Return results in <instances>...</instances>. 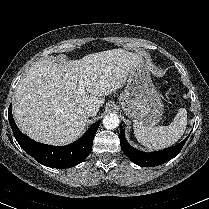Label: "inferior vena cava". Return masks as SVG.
<instances>
[{"label": "inferior vena cava", "instance_id": "602c4592", "mask_svg": "<svg viewBox=\"0 0 209 209\" xmlns=\"http://www.w3.org/2000/svg\"><path fill=\"white\" fill-rule=\"evenodd\" d=\"M99 109L94 106H87L84 109L85 115L95 116L98 113Z\"/></svg>", "mask_w": 209, "mask_h": 209}]
</instances>
